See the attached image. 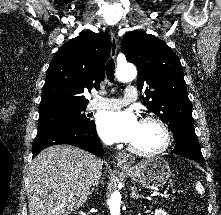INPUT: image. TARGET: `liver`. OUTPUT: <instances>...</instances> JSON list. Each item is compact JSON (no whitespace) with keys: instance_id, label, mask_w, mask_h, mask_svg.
<instances>
[{"instance_id":"1","label":"liver","mask_w":221,"mask_h":215,"mask_svg":"<svg viewBox=\"0 0 221 215\" xmlns=\"http://www.w3.org/2000/svg\"><path fill=\"white\" fill-rule=\"evenodd\" d=\"M102 167L101 159L70 145L44 149L30 165L29 215H69L82 207Z\"/></svg>"}]
</instances>
